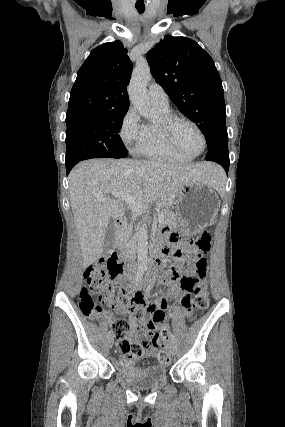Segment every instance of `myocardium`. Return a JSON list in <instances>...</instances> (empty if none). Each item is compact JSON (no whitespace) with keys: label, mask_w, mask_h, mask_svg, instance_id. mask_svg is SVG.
Segmentation results:
<instances>
[{"label":"myocardium","mask_w":285,"mask_h":427,"mask_svg":"<svg viewBox=\"0 0 285 427\" xmlns=\"http://www.w3.org/2000/svg\"><path fill=\"white\" fill-rule=\"evenodd\" d=\"M183 122V123H187L190 124L191 126H193L198 134L201 137L202 140V148L201 150L196 153V154H189L186 151H184L179 144L177 143L176 139H175V135H174V128L176 126V124ZM157 126L159 131L161 132L162 136L164 137V139L166 140V142L169 144V146L171 148H173L176 152H178L181 155H184L188 158H195L197 156H199L200 154H202L207 146V139L206 136L203 132V130L201 129V127L193 120L183 117V116H179L176 114H164L161 115L159 121L157 122Z\"/></svg>","instance_id":"obj_1"}]
</instances>
